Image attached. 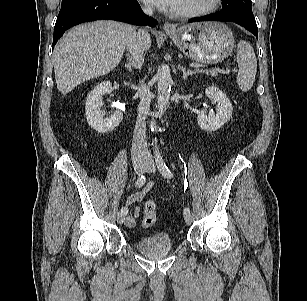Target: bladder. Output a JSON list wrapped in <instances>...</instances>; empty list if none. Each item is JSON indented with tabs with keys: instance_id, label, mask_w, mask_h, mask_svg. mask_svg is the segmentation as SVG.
I'll return each instance as SVG.
<instances>
[{
	"instance_id": "bladder-1",
	"label": "bladder",
	"mask_w": 307,
	"mask_h": 301,
	"mask_svg": "<svg viewBox=\"0 0 307 301\" xmlns=\"http://www.w3.org/2000/svg\"><path fill=\"white\" fill-rule=\"evenodd\" d=\"M136 248L147 257L161 258L174 249V244L167 233L161 232L138 239Z\"/></svg>"
}]
</instances>
